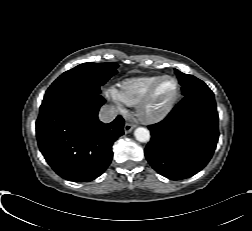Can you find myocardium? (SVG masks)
Returning <instances> with one entry per match:
<instances>
[{"mask_svg": "<svg viewBox=\"0 0 252 231\" xmlns=\"http://www.w3.org/2000/svg\"><path fill=\"white\" fill-rule=\"evenodd\" d=\"M165 79H171L175 82V85H176L175 94L163 109L153 112L150 110L151 101L159 85ZM180 95H181V85L178 79L171 75H163L151 85V87L148 89V91L145 93L142 99L137 103L136 105L137 116L139 117L141 121L145 123L160 122L172 112V110L174 109V107L176 106L180 98Z\"/></svg>", "mask_w": 252, "mask_h": 231, "instance_id": "obj_1", "label": "myocardium"}]
</instances>
